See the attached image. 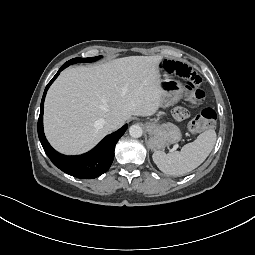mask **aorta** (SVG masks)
Wrapping results in <instances>:
<instances>
[{
	"mask_svg": "<svg viewBox=\"0 0 255 255\" xmlns=\"http://www.w3.org/2000/svg\"><path fill=\"white\" fill-rule=\"evenodd\" d=\"M129 134L133 138H139L142 136L143 130L139 125L134 124V125L130 126Z\"/></svg>",
	"mask_w": 255,
	"mask_h": 255,
	"instance_id": "obj_1",
	"label": "aorta"
}]
</instances>
